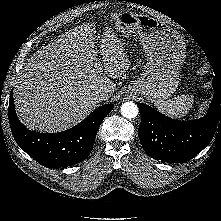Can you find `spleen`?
<instances>
[{"instance_id":"spleen-1","label":"spleen","mask_w":221,"mask_h":221,"mask_svg":"<svg viewBox=\"0 0 221 221\" xmlns=\"http://www.w3.org/2000/svg\"><path fill=\"white\" fill-rule=\"evenodd\" d=\"M194 103L193 95H181L174 99L155 103L156 108L163 114L181 119L186 116Z\"/></svg>"}]
</instances>
